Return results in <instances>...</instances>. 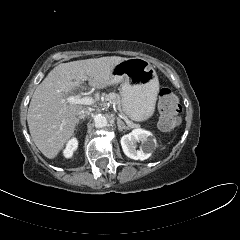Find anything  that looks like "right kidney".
<instances>
[{"label":"right kidney","instance_id":"1","mask_svg":"<svg viewBox=\"0 0 240 240\" xmlns=\"http://www.w3.org/2000/svg\"><path fill=\"white\" fill-rule=\"evenodd\" d=\"M78 147V141L76 138H72L68 141L66 148L63 151V154L66 158H70L73 155V152L76 151Z\"/></svg>","mask_w":240,"mask_h":240}]
</instances>
